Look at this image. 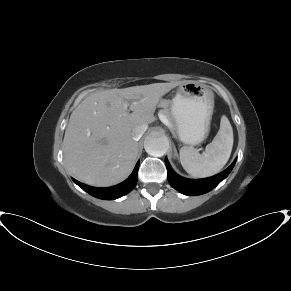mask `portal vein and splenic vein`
I'll list each match as a JSON object with an SVG mask.
<instances>
[{"mask_svg":"<svg viewBox=\"0 0 291 291\" xmlns=\"http://www.w3.org/2000/svg\"><path fill=\"white\" fill-rule=\"evenodd\" d=\"M125 107H127V105ZM159 118H160L161 122H163L164 124L170 125L169 121L167 120V118L164 115L160 114Z\"/></svg>","mask_w":291,"mask_h":291,"instance_id":"18ae733b","label":"portal vein and splenic vein"}]
</instances>
